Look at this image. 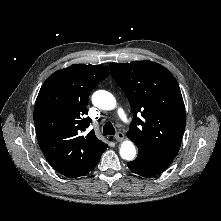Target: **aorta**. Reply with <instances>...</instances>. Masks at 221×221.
<instances>
[{"label":"aorta","instance_id":"aorta-1","mask_svg":"<svg viewBox=\"0 0 221 221\" xmlns=\"http://www.w3.org/2000/svg\"><path fill=\"white\" fill-rule=\"evenodd\" d=\"M92 103L94 106L102 110H112L116 106V100L114 96L105 90H98L92 95ZM120 155L125 160H133L136 156V149L134 144L127 140L121 144Z\"/></svg>","mask_w":221,"mask_h":221}]
</instances>
